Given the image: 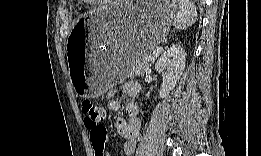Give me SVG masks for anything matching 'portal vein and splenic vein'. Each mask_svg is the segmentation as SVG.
<instances>
[{
    "mask_svg": "<svg viewBox=\"0 0 261 156\" xmlns=\"http://www.w3.org/2000/svg\"><path fill=\"white\" fill-rule=\"evenodd\" d=\"M161 52H162V48H161V47H157V48L153 51L152 55L155 56V57H157V56L160 55Z\"/></svg>",
    "mask_w": 261,
    "mask_h": 156,
    "instance_id": "1",
    "label": "portal vein and splenic vein"
}]
</instances>
